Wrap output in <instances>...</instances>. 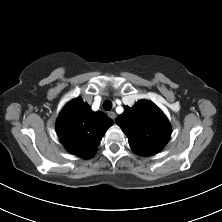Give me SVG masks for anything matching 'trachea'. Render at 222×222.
<instances>
[{
  "label": "trachea",
  "mask_w": 222,
  "mask_h": 222,
  "mask_svg": "<svg viewBox=\"0 0 222 222\" xmlns=\"http://www.w3.org/2000/svg\"><path fill=\"white\" fill-rule=\"evenodd\" d=\"M103 109L105 111H110L112 109V102L110 100H105L103 102Z\"/></svg>",
  "instance_id": "3493384b"
}]
</instances>
